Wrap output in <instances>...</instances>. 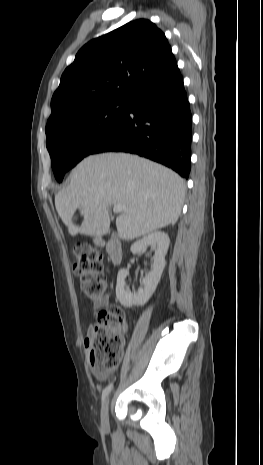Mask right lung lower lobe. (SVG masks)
Segmentation results:
<instances>
[{"instance_id": "1", "label": "right lung lower lobe", "mask_w": 263, "mask_h": 465, "mask_svg": "<svg viewBox=\"0 0 263 465\" xmlns=\"http://www.w3.org/2000/svg\"><path fill=\"white\" fill-rule=\"evenodd\" d=\"M191 138L190 105L176 66L131 95L126 115L93 153H135L188 178Z\"/></svg>"}]
</instances>
